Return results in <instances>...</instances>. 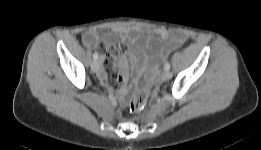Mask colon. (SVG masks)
<instances>
[{"instance_id": "1", "label": "colon", "mask_w": 261, "mask_h": 150, "mask_svg": "<svg viewBox=\"0 0 261 150\" xmlns=\"http://www.w3.org/2000/svg\"><path fill=\"white\" fill-rule=\"evenodd\" d=\"M149 98V90L146 85L136 90L130 102L131 112L138 114L143 111Z\"/></svg>"}]
</instances>
